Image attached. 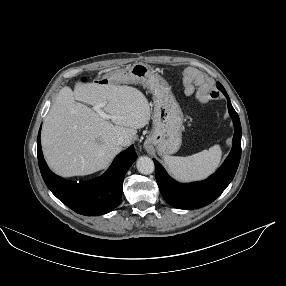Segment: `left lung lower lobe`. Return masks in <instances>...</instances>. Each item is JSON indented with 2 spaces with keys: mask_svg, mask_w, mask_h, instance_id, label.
I'll use <instances>...</instances> for the list:
<instances>
[{
  "mask_svg": "<svg viewBox=\"0 0 286 286\" xmlns=\"http://www.w3.org/2000/svg\"><path fill=\"white\" fill-rule=\"evenodd\" d=\"M222 92L227 98L228 110L233 119L235 133L232 150L215 174L202 182L180 184L171 179L164 168L153 159L160 192L166 202L175 208L196 209L210 204L222 194L236 173L241 157V124L226 91Z\"/></svg>",
  "mask_w": 286,
  "mask_h": 286,
  "instance_id": "0a47b994",
  "label": "left lung lower lobe"
}]
</instances>
